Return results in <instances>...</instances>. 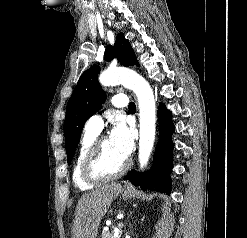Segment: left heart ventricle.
I'll return each instance as SVG.
<instances>
[{"label": "left heart ventricle", "mask_w": 247, "mask_h": 238, "mask_svg": "<svg viewBox=\"0 0 247 238\" xmlns=\"http://www.w3.org/2000/svg\"><path fill=\"white\" fill-rule=\"evenodd\" d=\"M123 158L107 139L101 149L100 168L108 173L116 172L125 162Z\"/></svg>", "instance_id": "b2bd125f"}]
</instances>
